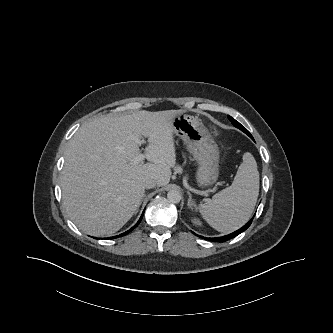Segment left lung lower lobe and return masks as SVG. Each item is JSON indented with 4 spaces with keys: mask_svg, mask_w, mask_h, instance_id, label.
Instances as JSON below:
<instances>
[{
    "mask_svg": "<svg viewBox=\"0 0 333 333\" xmlns=\"http://www.w3.org/2000/svg\"><path fill=\"white\" fill-rule=\"evenodd\" d=\"M252 220H253V218L247 224H245L243 227H241L240 229H238L237 231H235V232H233L231 234H228V235H225V236H222V237L210 238V240L211 241H215V242H225V241H228V240L236 237L237 235H239L243 231H245L251 225Z\"/></svg>",
    "mask_w": 333,
    "mask_h": 333,
    "instance_id": "0a47b994",
    "label": "left lung lower lobe"
}]
</instances>
